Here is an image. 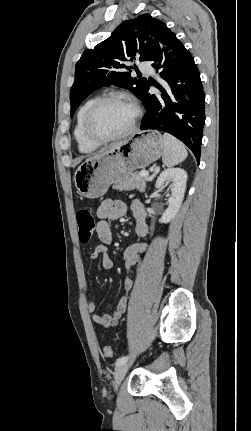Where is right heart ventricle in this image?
<instances>
[{"instance_id": "1", "label": "right heart ventricle", "mask_w": 251, "mask_h": 431, "mask_svg": "<svg viewBox=\"0 0 251 431\" xmlns=\"http://www.w3.org/2000/svg\"><path fill=\"white\" fill-rule=\"evenodd\" d=\"M96 97L87 99L79 108L76 116V123L74 127V138L77 143L78 150L83 154L94 152L100 145L89 142L83 132V121L85 114L89 107L94 103Z\"/></svg>"}]
</instances>
